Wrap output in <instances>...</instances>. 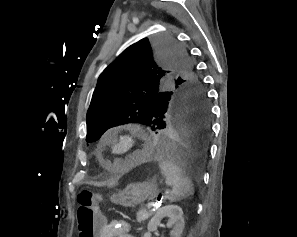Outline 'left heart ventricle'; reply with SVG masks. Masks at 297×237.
I'll list each match as a JSON object with an SVG mask.
<instances>
[{"mask_svg": "<svg viewBox=\"0 0 297 237\" xmlns=\"http://www.w3.org/2000/svg\"><path fill=\"white\" fill-rule=\"evenodd\" d=\"M124 150V144H116L114 146V151L117 153H120Z\"/></svg>", "mask_w": 297, "mask_h": 237, "instance_id": "1", "label": "left heart ventricle"}]
</instances>
